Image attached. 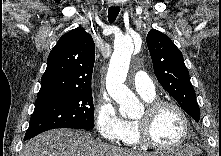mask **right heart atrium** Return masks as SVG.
I'll list each match as a JSON object with an SVG mask.
<instances>
[{"label":"right heart atrium","instance_id":"1","mask_svg":"<svg viewBox=\"0 0 221 156\" xmlns=\"http://www.w3.org/2000/svg\"><path fill=\"white\" fill-rule=\"evenodd\" d=\"M94 124L99 135L109 142H118L124 137L125 121L119 116L114 102L106 93H100L97 98Z\"/></svg>","mask_w":221,"mask_h":156}]
</instances>
